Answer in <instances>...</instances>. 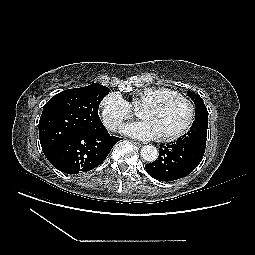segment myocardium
Here are the masks:
<instances>
[{"label":"myocardium","mask_w":255,"mask_h":255,"mask_svg":"<svg viewBox=\"0 0 255 255\" xmlns=\"http://www.w3.org/2000/svg\"><path fill=\"white\" fill-rule=\"evenodd\" d=\"M172 100L181 101L182 103H184L187 106L188 112H189L188 119H187L185 125L182 128H180L179 130H177L173 133L167 134V135L159 136L158 140L161 142L174 141V140L184 136L191 130V128L194 125L195 119H196V107H195L194 103L188 97H186L185 95H183L179 92L173 91L167 95L160 96L159 98L145 104L144 106L159 107V106H161L169 101H172Z\"/></svg>","instance_id":"myocardium-1"}]
</instances>
